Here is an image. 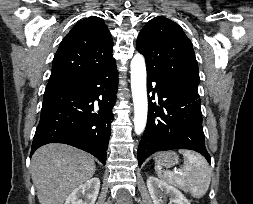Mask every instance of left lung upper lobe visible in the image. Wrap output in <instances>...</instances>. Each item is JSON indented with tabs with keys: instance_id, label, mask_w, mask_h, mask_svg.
I'll list each match as a JSON object with an SVG mask.
<instances>
[{
	"instance_id": "obj_1",
	"label": "left lung upper lobe",
	"mask_w": 253,
	"mask_h": 204,
	"mask_svg": "<svg viewBox=\"0 0 253 204\" xmlns=\"http://www.w3.org/2000/svg\"><path fill=\"white\" fill-rule=\"evenodd\" d=\"M136 49L146 59L147 74L171 85L198 90V65L191 41L172 20L158 16L140 31Z\"/></svg>"
}]
</instances>
